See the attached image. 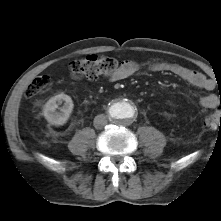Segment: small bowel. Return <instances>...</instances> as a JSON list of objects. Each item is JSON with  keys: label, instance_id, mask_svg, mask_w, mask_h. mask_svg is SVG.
<instances>
[{"label": "small bowel", "instance_id": "1", "mask_svg": "<svg viewBox=\"0 0 221 221\" xmlns=\"http://www.w3.org/2000/svg\"><path fill=\"white\" fill-rule=\"evenodd\" d=\"M152 70L160 72H170L190 85L205 91L214 89V82L203 74L180 65L153 63ZM139 70V64L135 61H125L120 69L111 76L112 81L123 80ZM73 79L78 80L75 74L71 75ZM218 104V98L214 94H206L200 97V105L206 109L215 108Z\"/></svg>", "mask_w": 221, "mask_h": 221}]
</instances>
